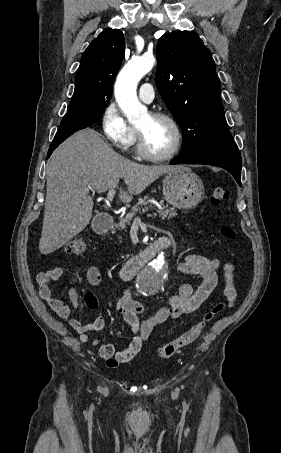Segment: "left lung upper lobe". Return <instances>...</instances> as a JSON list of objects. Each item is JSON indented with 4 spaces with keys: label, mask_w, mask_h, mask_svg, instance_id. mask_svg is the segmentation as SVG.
I'll return each mask as SVG.
<instances>
[{
    "label": "left lung upper lobe",
    "mask_w": 281,
    "mask_h": 453,
    "mask_svg": "<svg viewBox=\"0 0 281 453\" xmlns=\"http://www.w3.org/2000/svg\"><path fill=\"white\" fill-rule=\"evenodd\" d=\"M156 53L155 82L183 134L180 156L235 144L225 119L214 60L198 34H164Z\"/></svg>",
    "instance_id": "left-lung-upper-lobe-1"
}]
</instances>
